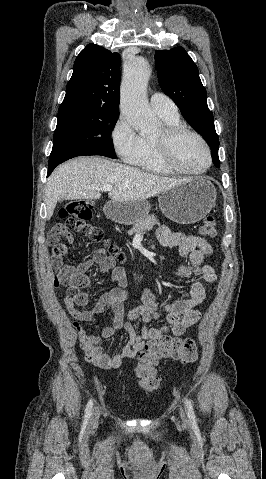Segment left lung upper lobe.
Segmentation results:
<instances>
[{
  "label": "left lung upper lobe",
  "mask_w": 266,
  "mask_h": 479,
  "mask_svg": "<svg viewBox=\"0 0 266 479\" xmlns=\"http://www.w3.org/2000/svg\"><path fill=\"white\" fill-rule=\"evenodd\" d=\"M155 65L161 89L178 105L190 126L206 140L213 163L219 168V138L197 66L182 47L158 50Z\"/></svg>",
  "instance_id": "5c2ea615"
}]
</instances>
